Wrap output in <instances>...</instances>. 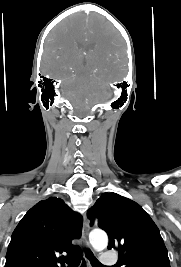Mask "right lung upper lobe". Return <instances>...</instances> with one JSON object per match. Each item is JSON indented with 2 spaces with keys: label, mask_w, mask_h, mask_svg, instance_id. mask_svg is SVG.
I'll list each match as a JSON object with an SVG mask.
<instances>
[{
  "label": "right lung upper lobe",
  "mask_w": 181,
  "mask_h": 267,
  "mask_svg": "<svg viewBox=\"0 0 181 267\" xmlns=\"http://www.w3.org/2000/svg\"><path fill=\"white\" fill-rule=\"evenodd\" d=\"M82 224V216L62 199L50 197L38 202L15 228L5 267H58L59 254L71 255L78 248L71 241L80 238Z\"/></svg>",
  "instance_id": "obj_1"
}]
</instances>
